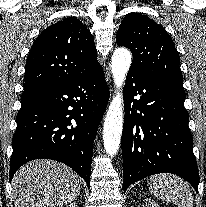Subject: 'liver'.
Returning a JSON list of instances; mask_svg holds the SVG:
<instances>
[{"mask_svg":"<svg viewBox=\"0 0 206 207\" xmlns=\"http://www.w3.org/2000/svg\"><path fill=\"white\" fill-rule=\"evenodd\" d=\"M16 207H63L81 190L80 180L69 167L52 160H35L14 175Z\"/></svg>","mask_w":206,"mask_h":207,"instance_id":"obj_1","label":"liver"}]
</instances>
